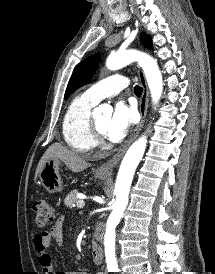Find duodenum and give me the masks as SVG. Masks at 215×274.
<instances>
[{"label": "duodenum", "mask_w": 215, "mask_h": 274, "mask_svg": "<svg viewBox=\"0 0 215 274\" xmlns=\"http://www.w3.org/2000/svg\"><path fill=\"white\" fill-rule=\"evenodd\" d=\"M91 253L93 262L97 265L102 264L103 262V249L98 243H92Z\"/></svg>", "instance_id": "duodenum-1"}]
</instances>
